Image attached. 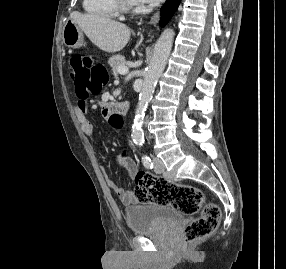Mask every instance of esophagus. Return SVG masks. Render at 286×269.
Returning a JSON list of instances; mask_svg holds the SVG:
<instances>
[{"instance_id": "1", "label": "esophagus", "mask_w": 286, "mask_h": 269, "mask_svg": "<svg viewBox=\"0 0 286 269\" xmlns=\"http://www.w3.org/2000/svg\"><path fill=\"white\" fill-rule=\"evenodd\" d=\"M160 18V11H157L150 19L149 24L155 26Z\"/></svg>"}]
</instances>
